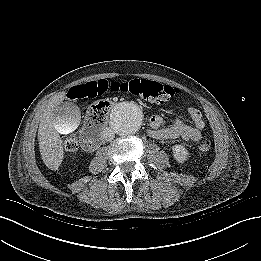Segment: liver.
I'll list each match as a JSON object with an SVG mask.
<instances>
[{"label": "liver", "instance_id": "6515ba94", "mask_svg": "<svg viewBox=\"0 0 261 261\" xmlns=\"http://www.w3.org/2000/svg\"><path fill=\"white\" fill-rule=\"evenodd\" d=\"M66 92L62 91L54 95L45 105L42 118L38 128V141L41 158L44 164L51 170H57L64 157L63 142L60 133L67 134L74 131L80 122V111L71 123H65L55 117L54 109L63 103Z\"/></svg>", "mask_w": 261, "mask_h": 261}]
</instances>
